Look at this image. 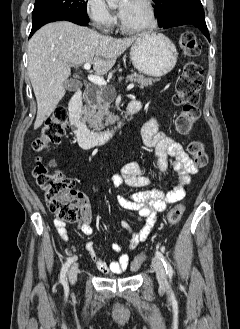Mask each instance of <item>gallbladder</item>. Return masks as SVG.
<instances>
[{"label": "gallbladder", "instance_id": "obj_1", "mask_svg": "<svg viewBox=\"0 0 240 329\" xmlns=\"http://www.w3.org/2000/svg\"><path fill=\"white\" fill-rule=\"evenodd\" d=\"M64 86H65V89L68 91H76L77 89H79L81 87V82L74 78V79L67 80L65 82Z\"/></svg>", "mask_w": 240, "mask_h": 329}]
</instances>
